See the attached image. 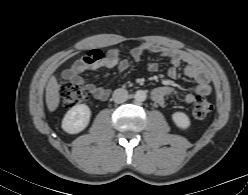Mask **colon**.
<instances>
[{
    "mask_svg": "<svg viewBox=\"0 0 248 195\" xmlns=\"http://www.w3.org/2000/svg\"><path fill=\"white\" fill-rule=\"evenodd\" d=\"M59 93L68 107H72L85 100L88 96V91L82 84L63 80L59 84ZM213 109V106L209 100L199 96L195 99L193 114L196 118H205Z\"/></svg>",
    "mask_w": 248,
    "mask_h": 195,
    "instance_id": "obj_1",
    "label": "colon"
}]
</instances>
